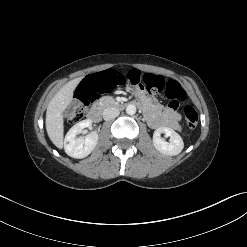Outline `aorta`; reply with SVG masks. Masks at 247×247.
Wrapping results in <instances>:
<instances>
[{"label":"aorta","mask_w":247,"mask_h":247,"mask_svg":"<svg viewBox=\"0 0 247 247\" xmlns=\"http://www.w3.org/2000/svg\"><path fill=\"white\" fill-rule=\"evenodd\" d=\"M126 113L128 115H134L136 113V107H135V105H132V104L128 105L126 107Z\"/></svg>","instance_id":"obj_1"}]
</instances>
